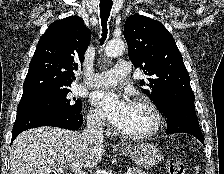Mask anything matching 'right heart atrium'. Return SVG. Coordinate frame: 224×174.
<instances>
[{
  "mask_svg": "<svg viewBox=\"0 0 224 174\" xmlns=\"http://www.w3.org/2000/svg\"><path fill=\"white\" fill-rule=\"evenodd\" d=\"M87 121L89 126L93 129L103 130L105 128V121L96 109L89 110L87 114Z\"/></svg>",
  "mask_w": 224,
  "mask_h": 174,
  "instance_id": "d8ad5b80",
  "label": "right heart atrium"
}]
</instances>
